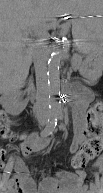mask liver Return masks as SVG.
Masks as SVG:
<instances>
[{
  "mask_svg": "<svg viewBox=\"0 0 103 193\" xmlns=\"http://www.w3.org/2000/svg\"><path fill=\"white\" fill-rule=\"evenodd\" d=\"M80 3V0L0 1L1 69L6 82L19 84L28 74L31 47L27 35H41L57 15L72 13Z\"/></svg>",
  "mask_w": 103,
  "mask_h": 193,
  "instance_id": "6515ba94",
  "label": "liver"
}]
</instances>
